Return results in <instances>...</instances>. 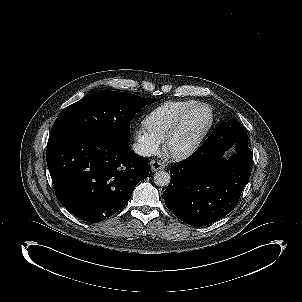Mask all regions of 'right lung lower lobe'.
<instances>
[{
  "label": "right lung lower lobe",
  "mask_w": 302,
  "mask_h": 302,
  "mask_svg": "<svg viewBox=\"0 0 302 302\" xmlns=\"http://www.w3.org/2000/svg\"><path fill=\"white\" fill-rule=\"evenodd\" d=\"M46 158L59 202L92 223L123 208L150 171L149 160L128 144L97 133L49 140Z\"/></svg>",
  "instance_id": "1"
}]
</instances>
